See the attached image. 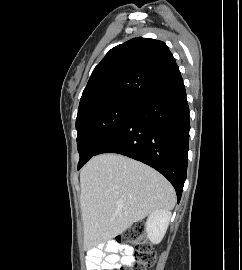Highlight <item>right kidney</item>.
I'll return each mask as SVG.
<instances>
[{
	"mask_svg": "<svg viewBox=\"0 0 242 270\" xmlns=\"http://www.w3.org/2000/svg\"><path fill=\"white\" fill-rule=\"evenodd\" d=\"M171 219V212L165 210H155L152 212L145 224V230L148 239L154 243L158 244L163 239L169 222Z\"/></svg>",
	"mask_w": 242,
	"mask_h": 270,
	"instance_id": "right-kidney-1",
	"label": "right kidney"
}]
</instances>
